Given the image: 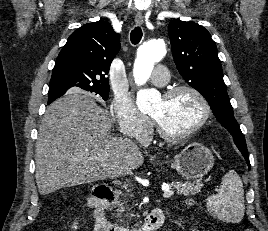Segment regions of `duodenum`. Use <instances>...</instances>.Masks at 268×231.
I'll list each match as a JSON object with an SVG mask.
<instances>
[{"mask_svg": "<svg viewBox=\"0 0 268 231\" xmlns=\"http://www.w3.org/2000/svg\"><path fill=\"white\" fill-rule=\"evenodd\" d=\"M113 198L112 188L106 183L97 186L93 195L89 197V206L93 208L95 231H129L128 229L115 225L105 217L104 206L110 203ZM163 220L162 210L154 209L147 214L143 225L133 231H153L162 225Z\"/></svg>", "mask_w": 268, "mask_h": 231, "instance_id": "duodenum-1", "label": "duodenum"}]
</instances>
